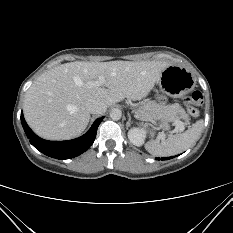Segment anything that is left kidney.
Wrapping results in <instances>:
<instances>
[{
    "label": "left kidney",
    "instance_id": "1",
    "mask_svg": "<svg viewBox=\"0 0 233 233\" xmlns=\"http://www.w3.org/2000/svg\"><path fill=\"white\" fill-rule=\"evenodd\" d=\"M145 131L138 128H132L128 132V139L136 146H141L144 143Z\"/></svg>",
    "mask_w": 233,
    "mask_h": 233
}]
</instances>
